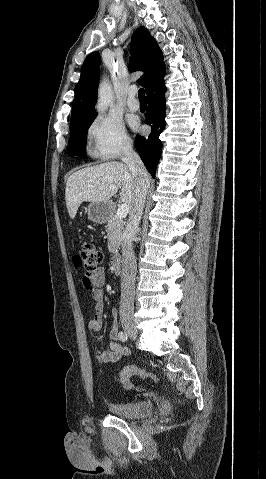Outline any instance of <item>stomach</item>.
Returning a JSON list of instances; mask_svg holds the SVG:
<instances>
[{"mask_svg":"<svg viewBox=\"0 0 266 479\" xmlns=\"http://www.w3.org/2000/svg\"><path fill=\"white\" fill-rule=\"evenodd\" d=\"M111 204L109 202H91L87 207L89 220L94 223H104L110 217Z\"/></svg>","mask_w":266,"mask_h":479,"instance_id":"1","label":"stomach"}]
</instances>
